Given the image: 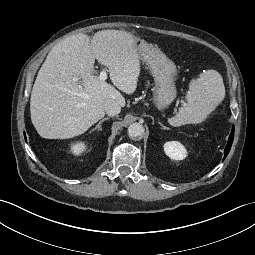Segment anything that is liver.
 Returning <instances> with one entry per match:
<instances>
[{
	"instance_id": "obj_1",
	"label": "liver",
	"mask_w": 255,
	"mask_h": 255,
	"mask_svg": "<svg viewBox=\"0 0 255 255\" xmlns=\"http://www.w3.org/2000/svg\"><path fill=\"white\" fill-rule=\"evenodd\" d=\"M138 37L124 30L98 31L90 39L77 34L48 53L33 85L31 121L48 139H67L86 132L104 117V102H126L120 91L132 94L140 75ZM95 59L106 66L113 85L94 76Z\"/></svg>"
}]
</instances>
